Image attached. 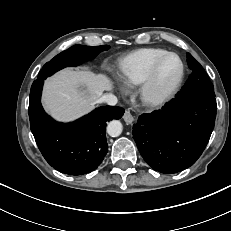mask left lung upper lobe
<instances>
[{"instance_id":"left-lung-upper-lobe-1","label":"left lung upper lobe","mask_w":231,"mask_h":231,"mask_svg":"<svg viewBox=\"0 0 231 231\" xmlns=\"http://www.w3.org/2000/svg\"><path fill=\"white\" fill-rule=\"evenodd\" d=\"M187 63L192 73L178 95L199 93L215 97L214 87L208 75L202 68L201 64L192 57L190 53H187Z\"/></svg>"}]
</instances>
